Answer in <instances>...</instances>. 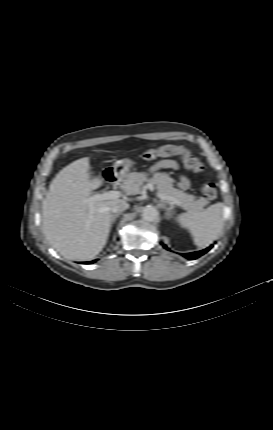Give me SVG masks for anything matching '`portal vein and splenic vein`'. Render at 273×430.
<instances>
[{
	"label": "portal vein and splenic vein",
	"instance_id": "portal-vein-and-splenic-vein-1",
	"mask_svg": "<svg viewBox=\"0 0 273 430\" xmlns=\"http://www.w3.org/2000/svg\"><path fill=\"white\" fill-rule=\"evenodd\" d=\"M146 188H148L150 191H154V185L151 183L147 184ZM121 195L122 194L120 191H113V190L107 191V192H104L102 194H95V195L90 196L87 199V202L89 204H93L94 202H97V201L117 199V198L121 197ZM157 196L162 201H165L166 203L179 204V201L177 199H175L174 197L166 196V195L161 194V193H157Z\"/></svg>",
	"mask_w": 273,
	"mask_h": 430
}]
</instances>
